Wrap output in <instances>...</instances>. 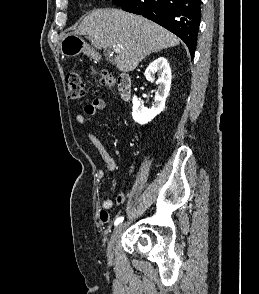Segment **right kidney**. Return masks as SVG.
<instances>
[{
    "mask_svg": "<svg viewBox=\"0 0 259 294\" xmlns=\"http://www.w3.org/2000/svg\"><path fill=\"white\" fill-rule=\"evenodd\" d=\"M155 73L159 76L157 83L160 84V86L155 93L151 109L146 108L136 96L132 99V117L135 122L141 125L148 123L163 111L166 98L169 95L172 76L169 63L165 57H159L150 63L144 75L148 81H152Z\"/></svg>",
    "mask_w": 259,
    "mask_h": 294,
    "instance_id": "ca27d5eb",
    "label": "right kidney"
}]
</instances>
